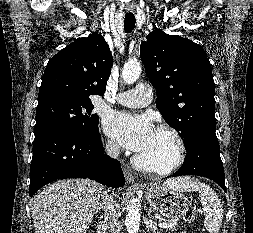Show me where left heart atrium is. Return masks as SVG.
Here are the masks:
<instances>
[{"mask_svg":"<svg viewBox=\"0 0 253 233\" xmlns=\"http://www.w3.org/2000/svg\"><path fill=\"white\" fill-rule=\"evenodd\" d=\"M103 127L123 147L137 153L145 148L154 132L147 116L118 111L105 117Z\"/></svg>","mask_w":253,"mask_h":233,"instance_id":"1","label":"left heart atrium"}]
</instances>
